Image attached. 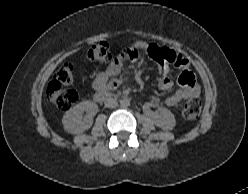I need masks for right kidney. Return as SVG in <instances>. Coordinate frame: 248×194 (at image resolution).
I'll list each match as a JSON object with an SVG mask.
<instances>
[{
    "instance_id": "obj_1",
    "label": "right kidney",
    "mask_w": 248,
    "mask_h": 194,
    "mask_svg": "<svg viewBox=\"0 0 248 194\" xmlns=\"http://www.w3.org/2000/svg\"><path fill=\"white\" fill-rule=\"evenodd\" d=\"M86 112V115L82 114ZM98 112V106L92 101H83L71 107L62 118L64 130L71 134H78L88 130L93 124V117Z\"/></svg>"
}]
</instances>
